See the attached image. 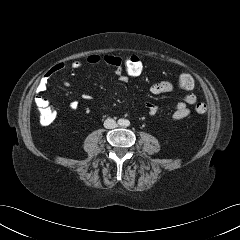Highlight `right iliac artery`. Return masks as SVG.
Instances as JSON below:
<instances>
[{"mask_svg": "<svg viewBox=\"0 0 240 240\" xmlns=\"http://www.w3.org/2000/svg\"><path fill=\"white\" fill-rule=\"evenodd\" d=\"M118 124L119 125H122L123 124V121L120 119V120H118Z\"/></svg>", "mask_w": 240, "mask_h": 240, "instance_id": "right-iliac-artery-1", "label": "right iliac artery"}]
</instances>
